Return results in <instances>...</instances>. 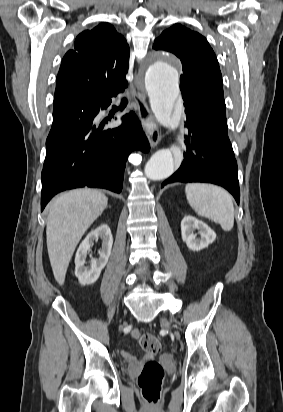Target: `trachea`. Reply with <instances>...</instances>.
I'll list each match as a JSON object with an SVG mask.
<instances>
[{
	"mask_svg": "<svg viewBox=\"0 0 283 412\" xmlns=\"http://www.w3.org/2000/svg\"><path fill=\"white\" fill-rule=\"evenodd\" d=\"M122 101H123V102H127V99H126V98H123Z\"/></svg>",
	"mask_w": 283,
	"mask_h": 412,
	"instance_id": "3493384b",
	"label": "trachea"
}]
</instances>
